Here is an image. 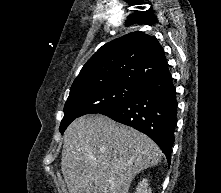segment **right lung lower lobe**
Segmentation results:
<instances>
[{
  "mask_svg": "<svg viewBox=\"0 0 221 193\" xmlns=\"http://www.w3.org/2000/svg\"><path fill=\"white\" fill-rule=\"evenodd\" d=\"M176 90L171 74L151 79L141 85L131 99L100 112L122 124L148 135L171 162L177 123Z\"/></svg>",
  "mask_w": 221,
  "mask_h": 193,
  "instance_id": "1",
  "label": "right lung lower lobe"
}]
</instances>
